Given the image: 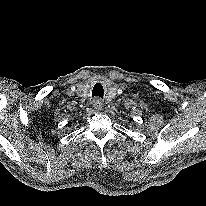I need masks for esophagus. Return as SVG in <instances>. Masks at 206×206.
Segmentation results:
<instances>
[{
    "mask_svg": "<svg viewBox=\"0 0 206 206\" xmlns=\"http://www.w3.org/2000/svg\"><path fill=\"white\" fill-rule=\"evenodd\" d=\"M102 105H103V103H102V101H101L100 98H95V99L93 100V102H92V106H93V108H94L96 111L101 110V109H102Z\"/></svg>",
    "mask_w": 206,
    "mask_h": 206,
    "instance_id": "34e87169",
    "label": "esophagus"
}]
</instances>
